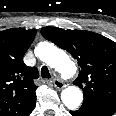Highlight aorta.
I'll return each instance as SVG.
<instances>
[{
  "label": "aorta",
  "instance_id": "obj_1",
  "mask_svg": "<svg viewBox=\"0 0 116 116\" xmlns=\"http://www.w3.org/2000/svg\"><path fill=\"white\" fill-rule=\"evenodd\" d=\"M34 52L40 60L46 62L62 76L70 77L75 73L76 66L68 55L52 44L41 42ZM61 99L68 109L75 110L83 101V94L77 86H69L62 91Z\"/></svg>",
  "mask_w": 116,
  "mask_h": 116
}]
</instances>
